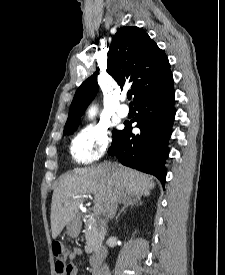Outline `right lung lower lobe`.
<instances>
[{
    "mask_svg": "<svg viewBox=\"0 0 225 275\" xmlns=\"http://www.w3.org/2000/svg\"><path fill=\"white\" fill-rule=\"evenodd\" d=\"M173 77L157 90L141 95L134 101L138 111L131 121L137 122L140 134H132L131 123L113 138L109 154L129 167L156 176L162 184L168 156L167 143L175 116Z\"/></svg>",
    "mask_w": 225,
    "mask_h": 275,
    "instance_id": "right-lung-lower-lobe-1",
    "label": "right lung lower lobe"
}]
</instances>
